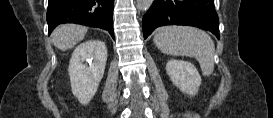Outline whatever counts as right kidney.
I'll return each mask as SVG.
<instances>
[{"label":"right kidney","instance_id":"ca27d5eb","mask_svg":"<svg viewBox=\"0 0 273 118\" xmlns=\"http://www.w3.org/2000/svg\"><path fill=\"white\" fill-rule=\"evenodd\" d=\"M106 61L107 48L102 41L89 40L75 48L68 71L72 93L81 104H88L95 95Z\"/></svg>","mask_w":273,"mask_h":118}]
</instances>
